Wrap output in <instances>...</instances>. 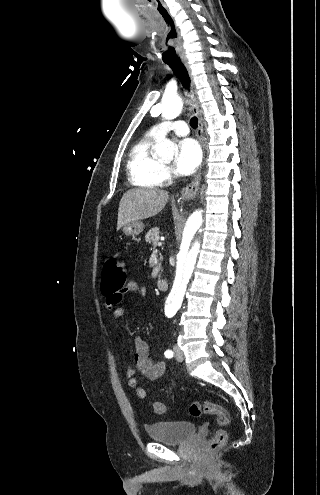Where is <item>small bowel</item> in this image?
Listing matches in <instances>:
<instances>
[{
	"mask_svg": "<svg viewBox=\"0 0 320 495\" xmlns=\"http://www.w3.org/2000/svg\"><path fill=\"white\" fill-rule=\"evenodd\" d=\"M135 293L144 296L147 293L145 286L130 281L124 285L123 289L118 292L105 294L106 307L112 313L113 320L118 323L125 313V308L119 306L124 295ZM119 327V325L117 324ZM132 342L135 347L134 361L135 367H129L126 370L128 377V386L134 390L141 398L146 396V391L139 386L138 380L134 377L138 372L149 380L161 378L166 371V364L162 360L154 359L150 355L148 343L138 335L132 337Z\"/></svg>",
	"mask_w": 320,
	"mask_h": 495,
	"instance_id": "c3829d8e",
	"label": "small bowel"
}]
</instances>
